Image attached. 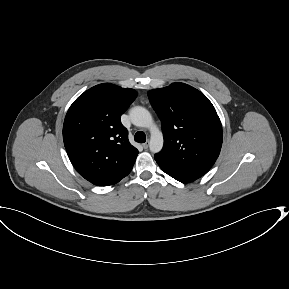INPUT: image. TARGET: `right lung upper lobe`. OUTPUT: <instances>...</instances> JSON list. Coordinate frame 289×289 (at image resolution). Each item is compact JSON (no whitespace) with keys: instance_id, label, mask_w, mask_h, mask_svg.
Wrapping results in <instances>:
<instances>
[{"instance_id":"right-lung-upper-lobe-1","label":"right lung upper lobe","mask_w":289,"mask_h":289,"mask_svg":"<svg viewBox=\"0 0 289 289\" xmlns=\"http://www.w3.org/2000/svg\"><path fill=\"white\" fill-rule=\"evenodd\" d=\"M137 92L114 84L96 85L69 108L63 140L78 173L97 186H109L127 176L138 150L128 140L120 116Z\"/></svg>"}]
</instances>
